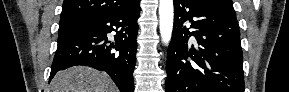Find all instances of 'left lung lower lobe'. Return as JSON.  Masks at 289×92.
<instances>
[{
	"mask_svg": "<svg viewBox=\"0 0 289 92\" xmlns=\"http://www.w3.org/2000/svg\"><path fill=\"white\" fill-rule=\"evenodd\" d=\"M166 71V92H244L236 16L204 0H174Z\"/></svg>",
	"mask_w": 289,
	"mask_h": 92,
	"instance_id": "obj_1",
	"label": "left lung lower lobe"
}]
</instances>
